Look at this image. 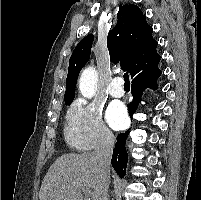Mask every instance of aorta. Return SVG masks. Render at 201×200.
<instances>
[{"mask_svg":"<svg viewBox=\"0 0 201 200\" xmlns=\"http://www.w3.org/2000/svg\"><path fill=\"white\" fill-rule=\"evenodd\" d=\"M98 81V73L95 68L88 67L81 73L79 79V90L86 98H91L95 93L96 83Z\"/></svg>","mask_w":201,"mask_h":200,"instance_id":"1","label":"aorta"}]
</instances>
